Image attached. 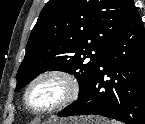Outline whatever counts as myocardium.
<instances>
[{
	"label": "myocardium",
	"mask_w": 145,
	"mask_h": 124,
	"mask_svg": "<svg viewBox=\"0 0 145 124\" xmlns=\"http://www.w3.org/2000/svg\"><path fill=\"white\" fill-rule=\"evenodd\" d=\"M46 81H56L62 85V96L50 105L36 107L30 101L33 89ZM80 94L78 79L70 72L62 69H49L36 75L25 87L22 94V104L27 112L32 115H46L60 111L73 103Z\"/></svg>",
	"instance_id": "1"
}]
</instances>
